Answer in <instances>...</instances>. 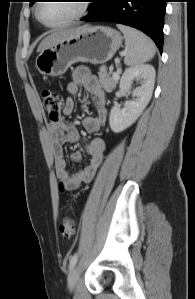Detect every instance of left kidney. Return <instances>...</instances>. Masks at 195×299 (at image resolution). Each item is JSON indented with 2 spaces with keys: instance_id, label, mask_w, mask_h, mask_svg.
I'll return each instance as SVG.
<instances>
[{
  "instance_id": "left-kidney-1",
  "label": "left kidney",
  "mask_w": 195,
  "mask_h": 299,
  "mask_svg": "<svg viewBox=\"0 0 195 299\" xmlns=\"http://www.w3.org/2000/svg\"><path fill=\"white\" fill-rule=\"evenodd\" d=\"M155 75L154 67L149 64L131 67L124 71L119 85L121 91L129 92L134 80L140 81V86L132 91L134 99L127 101L123 108L118 105L112 107L109 124L114 133H120L130 127L142 114L152 97Z\"/></svg>"
}]
</instances>
